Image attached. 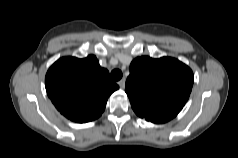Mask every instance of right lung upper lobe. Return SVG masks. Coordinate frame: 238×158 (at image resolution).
I'll return each instance as SVG.
<instances>
[{
  "mask_svg": "<svg viewBox=\"0 0 238 158\" xmlns=\"http://www.w3.org/2000/svg\"><path fill=\"white\" fill-rule=\"evenodd\" d=\"M45 87L60 113L77 123L100 117L109 96L119 88L94 55L60 58L49 68Z\"/></svg>",
  "mask_w": 238,
  "mask_h": 158,
  "instance_id": "cb5924a9",
  "label": "right lung upper lobe"
}]
</instances>
